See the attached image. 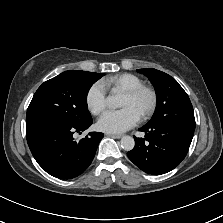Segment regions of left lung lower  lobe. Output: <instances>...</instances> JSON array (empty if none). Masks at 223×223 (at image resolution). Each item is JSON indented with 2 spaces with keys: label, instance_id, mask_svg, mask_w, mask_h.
Returning a JSON list of instances; mask_svg holds the SVG:
<instances>
[{
  "label": "left lung lower lobe",
  "instance_id": "left-lung-lower-lobe-1",
  "mask_svg": "<svg viewBox=\"0 0 223 223\" xmlns=\"http://www.w3.org/2000/svg\"><path fill=\"white\" fill-rule=\"evenodd\" d=\"M145 138L135 139V147L127 152L129 159L141 170L153 175L167 173L185 158L194 129L177 125H145L139 129Z\"/></svg>",
  "mask_w": 223,
  "mask_h": 223
}]
</instances>
